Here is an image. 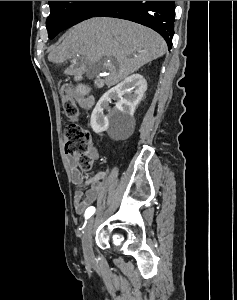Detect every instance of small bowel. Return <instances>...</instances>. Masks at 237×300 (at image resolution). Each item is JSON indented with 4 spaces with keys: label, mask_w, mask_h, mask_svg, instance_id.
Returning <instances> with one entry per match:
<instances>
[{
    "label": "small bowel",
    "mask_w": 237,
    "mask_h": 300,
    "mask_svg": "<svg viewBox=\"0 0 237 300\" xmlns=\"http://www.w3.org/2000/svg\"><path fill=\"white\" fill-rule=\"evenodd\" d=\"M78 102L84 109H90L93 105V100L90 98H79ZM73 120L75 121L77 118ZM89 155L93 160L99 158L98 150L95 147H91ZM68 165L72 182L77 187L74 209L77 214H83L89 207H92L93 203L107 187L114 185V180L111 178V173L108 169L100 171L90 178H85L72 158L68 159Z\"/></svg>",
    "instance_id": "small-bowel-1"
}]
</instances>
